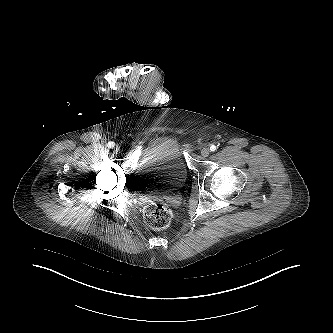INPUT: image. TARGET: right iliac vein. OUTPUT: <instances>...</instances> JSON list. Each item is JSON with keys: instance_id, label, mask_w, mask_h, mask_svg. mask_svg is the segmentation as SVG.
I'll return each mask as SVG.
<instances>
[{"instance_id": "obj_1", "label": "right iliac vein", "mask_w": 333, "mask_h": 333, "mask_svg": "<svg viewBox=\"0 0 333 333\" xmlns=\"http://www.w3.org/2000/svg\"><path fill=\"white\" fill-rule=\"evenodd\" d=\"M114 151L119 152L120 151L119 146H114Z\"/></svg>"}]
</instances>
